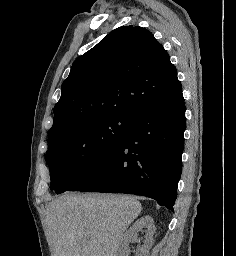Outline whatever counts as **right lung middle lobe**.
<instances>
[{
	"mask_svg": "<svg viewBox=\"0 0 236 256\" xmlns=\"http://www.w3.org/2000/svg\"><path fill=\"white\" fill-rule=\"evenodd\" d=\"M135 119L106 117L71 125L48 136L46 162L57 194L67 191L124 139Z\"/></svg>",
	"mask_w": 236,
	"mask_h": 256,
	"instance_id": "right-lung-middle-lobe-1",
	"label": "right lung middle lobe"
}]
</instances>
